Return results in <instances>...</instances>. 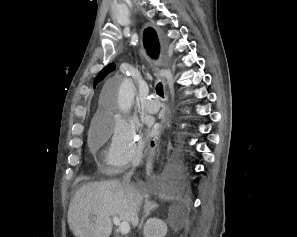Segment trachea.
Returning a JSON list of instances; mask_svg holds the SVG:
<instances>
[{
    "label": "trachea",
    "mask_w": 297,
    "mask_h": 237,
    "mask_svg": "<svg viewBox=\"0 0 297 237\" xmlns=\"http://www.w3.org/2000/svg\"><path fill=\"white\" fill-rule=\"evenodd\" d=\"M156 92L159 96H163L164 92H163V85L161 82H159L156 86Z\"/></svg>",
    "instance_id": "obj_1"
}]
</instances>
